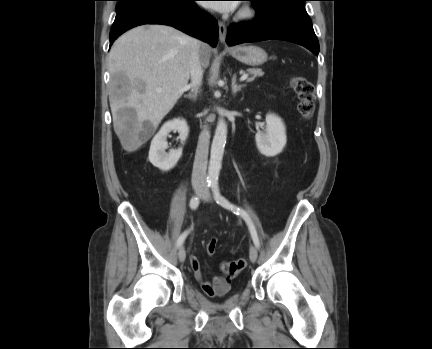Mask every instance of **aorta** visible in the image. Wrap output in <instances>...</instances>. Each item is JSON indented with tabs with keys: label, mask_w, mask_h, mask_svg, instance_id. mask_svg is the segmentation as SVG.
Segmentation results:
<instances>
[{
	"label": "aorta",
	"mask_w": 432,
	"mask_h": 349,
	"mask_svg": "<svg viewBox=\"0 0 432 349\" xmlns=\"http://www.w3.org/2000/svg\"><path fill=\"white\" fill-rule=\"evenodd\" d=\"M227 139V124L220 117L215 130L214 138L211 145L210 162L208 168V180L217 181L222 167V159Z\"/></svg>",
	"instance_id": "1"
}]
</instances>
